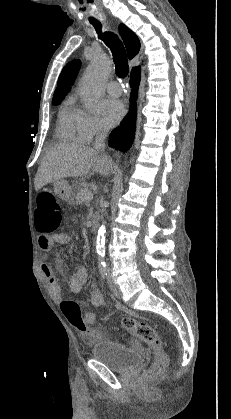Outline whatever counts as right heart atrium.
I'll return each instance as SVG.
<instances>
[{
    "mask_svg": "<svg viewBox=\"0 0 231 419\" xmlns=\"http://www.w3.org/2000/svg\"><path fill=\"white\" fill-rule=\"evenodd\" d=\"M83 132L87 140L101 136L106 132V127L101 120L94 116L85 114L83 119Z\"/></svg>",
    "mask_w": 231,
    "mask_h": 419,
    "instance_id": "obj_1",
    "label": "right heart atrium"
}]
</instances>
